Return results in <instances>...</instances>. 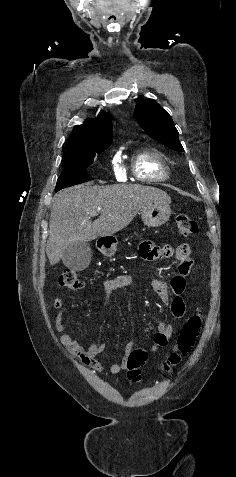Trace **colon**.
Wrapping results in <instances>:
<instances>
[{
  "instance_id": "colon-1",
  "label": "colon",
  "mask_w": 236,
  "mask_h": 477,
  "mask_svg": "<svg viewBox=\"0 0 236 477\" xmlns=\"http://www.w3.org/2000/svg\"><path fill=\"white\" fill-rule=\"evenodd\" d=\"M177 234L181 237H189L198 232L197 222L188 215L181 214L176 219ZM60 285L69 289H78L83 286L84 281L75 271L64 270L60 275ZM202 326V318L199 314L191 316L185 323L177 340L176 350L169 356L165 369L170 370L180 363L183 357L187 356L195 345ZM147 359V353L143 349L132 351L128 357V378L133 381L141 379V367Z\"/></svg>"
}]
</instances>
